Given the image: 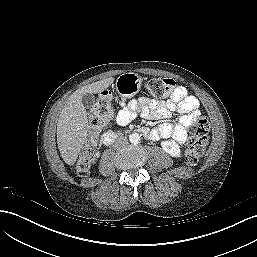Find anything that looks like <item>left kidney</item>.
<instances>
[{"instance_id": "obj_1", "label": "left kidney", "mask_w": 257, "mask_h": 257, "mask_svg": "<svg viewBox=\"0 0 257 257\" xmlns=\"http://www.w3.org/2000/svg\"><path fill=\"white\" fill-rule=\"evenodd\" d=\"M162 149L172 157H181V150L179 145L173 140L161 142Z\"/></svg>"}]
</instances>
